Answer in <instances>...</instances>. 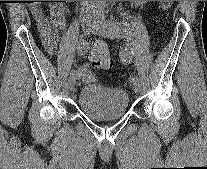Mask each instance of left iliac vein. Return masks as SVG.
<instances>
[{"mask_svg":"<svg viewBox=\"0 0 207 169\" xmlns=\"http://www.w3.org/2000/svg\"><path fill=\"white\" fill-rule=\"evenodd\" d=\"M92 33L113 39L117 36V33L111 28L108 21H105L103 16H98L94 18L93 25L91 29ZM133 90L138 93L141 90V84L139 81L132 82Z\"/></svg>","mask_w":207,"mask_h":169,"instance_id":"obj_1","label":"left iliac vein"}]
</instances>
